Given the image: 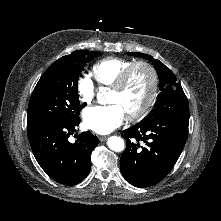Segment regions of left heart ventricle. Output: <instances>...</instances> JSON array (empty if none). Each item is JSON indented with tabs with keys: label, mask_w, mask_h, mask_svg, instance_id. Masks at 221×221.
<instances>
[{
	"label": "left heart ventricle",
	"mask_w": 221,
	"mask_h": 221,
	"mask_svg": "<svg viewBox=\"0 0 221 221\" xmlns=\"http://www.w3.org/2000/svg\"><path fill=\"white\" fill-rule=\"evenodd\" d=\"M150 84L149 73L143 68H137L123 91L111 90L109 102L119 104L126 115L135 113L144 105L150 92Z\"/></svg>",
	"instance_id": "b2bd125f"
}]
</instances>
